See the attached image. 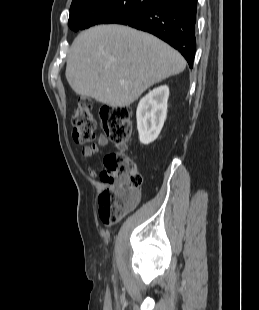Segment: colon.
<instances>
[{
  "mask_svg": "<svg viewBox=\"0 0 259 310\" xmlns=\"http://www.w3.org/2000/svg\"><path fill=\"white\" fill-rule=\"evenodd\" d=\"M105 136L114 143L119 151L104 157L101 179L108 187L99 196L98 215L102 223L109 225L119 222L138 201V190L142 176L135 162L122 150L127 146L132 133L131 110L127 106L106 107L101 112ZM72 137L78 144L93 143L96 122L92 104L81 99L72 117Z\"/></svg>",
  "mask_w": 259,
  "mask_h": 310,
  "instance_id": "5ec220e1",
  "label": "colon"
}]
</instances>
